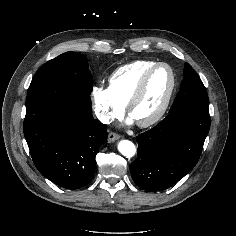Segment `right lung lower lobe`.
<instances>
[{"instance_id": "1", "label": "right lung lower lobe", "mask_w": 236, "mask_h": 236, "mask_svg": "<svg viewBox=\"0 0 236 236\" xmlns=\"http://www.w3.org/2000/svg\"><path fill=\"white\" fill-rule=\"evenodd\" d=\"M24 136L40 173L66 189L93 178L107 128L92 117L90 96L51 90L27 94Z\"/></svg>"}]
</instances>
